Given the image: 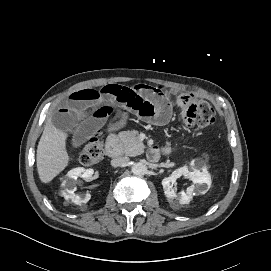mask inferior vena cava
Segmentation results:
<instances>
[{
  "mask_svg": "<svg viewBox=\"0 0 271 271\" xmlns=\"http://www.w3.org/2000/svg\"><path fill=\"white\" fill-rule=\"evenodd\" d=\"M129 161L128 157H119L111 161L113 167H119L125 165Z\"/></svg>",
  "mask_w": 271,
  "mask_h": 271,
  "instance_id": "inferior-vena-cava-1",
  "label": "inferior vena cava"
}]
</instances>
